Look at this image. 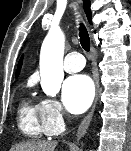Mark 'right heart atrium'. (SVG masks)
<instances>
[{
    "instance_id": "1",
    "label": "right heart atrium",
    "mask_w": 131,
    "mask_h": 151,
    "mask_svg": "<svg viewBox=\"0 0 131 151\" xmlns=\"http://www.w3.org/2000/svg\"><path fill=\"white\" fill-rule=\"evenodd\" d=\"M41 112L44 126L50 135L60 133L65 126L61 105L53 99L41 101Z\"/></svg>"
}]
</instances>
